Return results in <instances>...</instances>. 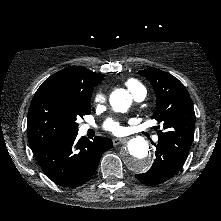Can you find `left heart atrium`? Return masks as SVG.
Wrapping results in <instances>:
<instances>
[{
    "instance_id": "39dd6f15",
    "label": "left heart atrium",
    "mask_w": 221,
    "mask_h": 221,
    "mask_svg": "<svg viewBox=\"0 0 221 221\" xmlns=\"http://www.w3.org/2000/svg\"><path fill=\"white\" fill-rule=\"evenodd\" d=\"M105 128L108 131H111L112 133L115 134H119L122 131V127L120 126V124L118 122L109 120L106 124H105Z\"/></svg>"
}]
</instances>
